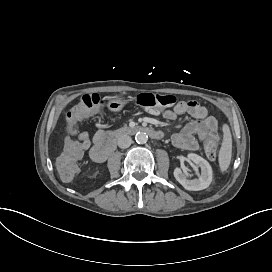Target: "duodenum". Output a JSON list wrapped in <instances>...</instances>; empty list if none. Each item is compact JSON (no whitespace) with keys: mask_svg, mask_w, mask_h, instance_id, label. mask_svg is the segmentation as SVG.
<instances>
[{"mask_svg":"<svg viewBox=\"0 0 272 272\" xmlns=\"http://www.w3.org/2000/svg\"><path fill=\"white\" fill-rule=\"evenodd\" d=\"M144 132L153 139H160L162 132L144 126H135L113 132H103L99 141L91 148L90 158L98 163L104 162L114 151L116 140L123 134Z\"/></svg>","mask_w":272,"mask_h":272,"instance_id":"410a0bca","label":"duodenum"}]
</instances>
